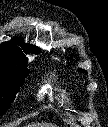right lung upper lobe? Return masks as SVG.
I'll return each mask as SVG.
<instances>
[{"label":"right lung upper lobe","mask_w":108,"mask_h":127,"mask_svg":"<svg viewBox=\"0 0 108 127\" xmlns=\"http://www.w3.org/2000/svg\"><path fill=\"white\" fill-rule=\"evenodd\" d=\"M41 51L34 45L25 44L21 39L13 38L0 45V63L15 62L27 65L26 54H39Z\"/></svg>","instance_id":"obj_1"}]
</instances>
